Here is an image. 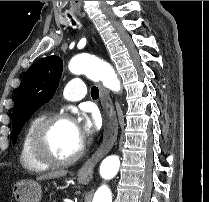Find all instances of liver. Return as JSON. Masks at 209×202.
<instances>
[{"label":"liver","mask_w":209,"mask_h":202,"mask_svg":"<svg viewBox=\"0 0 209 202\" xmlns=\"http://www.w3.org/2000/svg\"><path fill=\"white\" fill-rule=\"evenodd\" d=\"M66 174H67V171H65V170L51 172V173H47V174H44V175L38 177L37 180L58 178V177L65 176Z\"/></svg>","instance_id":"obj_1"}]
</instances>
